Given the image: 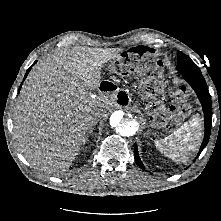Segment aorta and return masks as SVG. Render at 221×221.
Returning a JSON list of instances; mask_svg holds the SVG:
<instances>
[{"mask_svg":"<svg viewBox=\"0 0 221 221\" xmlns=\"http://www.w3.org/2000/svg\"><path fill=\"white\" fill-rule=\"evenodd\" d=\"M110 125L113 131L122 137L133 136L139 129L137 117L131 113L116 111L110 118Z\"/></svg>","mask_w":221,"mask_h":221,"instance_id":"obj_1","label":"aorta"}]
</instances>
